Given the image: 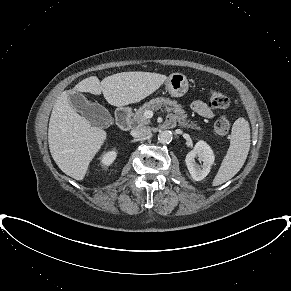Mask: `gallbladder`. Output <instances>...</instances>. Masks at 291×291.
Segmentation results:
<instances>
[{
  "instance_id": "bac80fb5",
  "label": "gallbladder",
  "mask_w": 291,
  "mask_h": 291,
  "mask_svg": "<svg viewBox=\"0 0 291 291\" xmlns=\"http://www.w3.org/2000/svg\"><path fill=\"white\" fill-rule=\"evenodd\" d=\"M69 101L72 107L93 126L106 128L113 123L110 112L104 106L89 102L83 94L69 91Z\"/></svg>"
}]
</instances>
